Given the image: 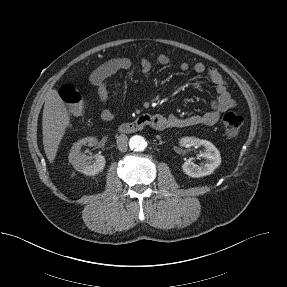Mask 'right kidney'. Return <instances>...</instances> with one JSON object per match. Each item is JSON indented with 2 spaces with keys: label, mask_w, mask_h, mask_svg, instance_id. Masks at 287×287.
Returning a JSON list of instances; mask_svg holds the SVG:
<instances>
[{
  "label": "right kidney",
  "mask_w": 287,
  "mask_h": 287,
  "mask_svg": "<svg viewBox=\"0 0 287 287\" xmlns=\"http://www.w3.org/2000/svg\"><path fill=\"white\" fill-rule=\"evenodd\" d=\"M96 143V138L86 137L73 144L68 158L69 162L78 172L92 176L103 171L106 163L104 156L95 155L93 157L94 160L91 161L92 157L83 155L81 153L82 146L86 144L93 146Z\"/></svg>",
  "instance_id": "obj_1"
}]
</instances>
